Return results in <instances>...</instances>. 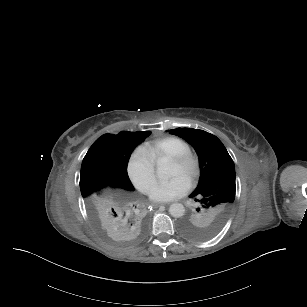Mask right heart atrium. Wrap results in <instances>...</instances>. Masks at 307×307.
<instances>
[{"instance_id": "right-heart-atrium-1", "label": "right heart atrium", "mask_w": 307, "mask_h": 307, "mask_svg": "<svg viewBox=\"0 0 307 307\" xmlns=\"http://www.w3.org/2000/svg\"><path fill=\"white\" fill-rule=\"evenodd\" d=\"M155 156L146 152L143 145H137L130 152L127 160V174L131 182L145 190L154 178Z\"/></svg>"}]
</instances>
